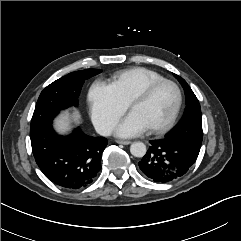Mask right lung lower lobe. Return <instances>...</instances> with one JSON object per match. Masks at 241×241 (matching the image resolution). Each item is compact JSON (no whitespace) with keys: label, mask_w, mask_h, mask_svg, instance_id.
I'll return each instance as SVG.
<instances>
[{"label":"right lung lower lobe","mask_w":241,"mask_h":241,"mask_svg":"<svg viewBox=\"0 0 241 241\" xmlns=\"http://www.w3.org/2000/svg\"><path fill=\"white\" fill-rule=\"evenodd\" d=\"M32 152L43 174L66 189L89 185L101 169L104 137H91L76 128L70 135L55 133L52 122L30 135Z\"/></svg>","instance_id":"1"}]
</instances>
